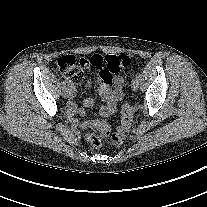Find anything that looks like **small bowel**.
I'll use <instances>...</instances> for the list:
<instances>
[{"mask_svg": "<svg viewBox=\"0 0 207 207\" xmlns=\"http://www.w3.org/2000/svg\"><path fill=\"white\" fill-rule=\"evenodd\" d=\"M97 83L99 101L102 104L100 108V115L102 117H108L114 114L117 110L120 100L123 98V79L120 76H112L106 80L100 75L95 77ZM76 94V89L70 87V96L73 98ZM96 100L93 98H86L83 101L84 107H91L95 104ZM83 114V111L78 109L76 103L71 99L68 102V115L73 124L79 126L84 130H99L100 121L97 119H81L77 118L78 115Z\"/></svg>", "mask_w": 207, "mask_h": 207, "instance_id": "1", "label": "small bowel"}]
</instances>
